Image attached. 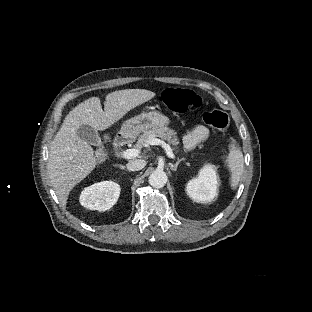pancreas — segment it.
I'll return each instance as SVG.
<instances>
[{"label": "pancreas", "mask_w": 312, "mask_h": 312, "mask_svg": "<svg viewBox=\"0 0 312 312\" xmlns=\"http://www.w3.org/2000/svg\"><path fill=\"white\" fill-rule=\"evenodd\" d=\"M159 137L166 140L170 145L177 146L179 144L176 132L168 127H154L150 130L144 131L142 135L138 138L136 147L141 149L150 145L151 141Z\"/></svg>", "instance_id": "pancreas-1"}]
</instances>
